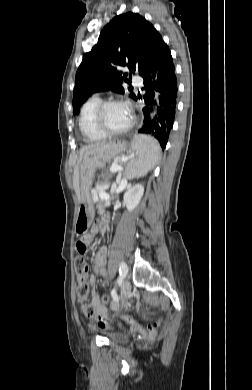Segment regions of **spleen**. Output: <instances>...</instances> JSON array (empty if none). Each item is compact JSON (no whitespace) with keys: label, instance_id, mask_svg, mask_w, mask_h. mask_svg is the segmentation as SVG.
Returning <instances> with one entry per match:
<instances>
[{"label":"spleen","instance_id":"3e777b00","mask_svg":"<svg viewBox=\"0 0 252 390\" xmlns=\"http://www.w3.org/2000/svg\"><path fill=\"white\" fill-rule=\"evenodd\" d=\"M135 157L130 160L126 168L128 179L139 178L146 175L160 159L158 142L146 135H139L132 142Z\"/></svg>","mask_w":252,"mask_h":390}]
</instances>
